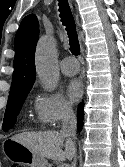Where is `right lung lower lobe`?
<instances>
[{"mask_svg":"<svg viewBox=\"0 0 125 167\" xmlns=\"http://www.w3.org/2000/svg\"><path fill=\"white\" fill-rule=\"evenodd\" d=\"M84 104L80 103L78 110H77V128L79 131H81L82 126H83V119H84Z\"/></svg>","mask_w":125,"mask_h":167,"instance_id":"right-lung-lower-lobe-1","label":"right lung lower lobe"}]
</instances>
